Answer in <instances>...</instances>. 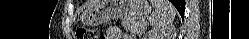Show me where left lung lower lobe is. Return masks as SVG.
Listing matches in <instances>:
<instances>
[{
	"label": "left lung lower lobe",
	"mask_w": 249,
	"mask_h": 39,
	"mask_svg": "<svg viewBox=\"0 0 249 39\" xmlns=\"http://www.w3.org/2000/svg\"><path fill=\"white\" fill-rule=\"evenodd\" d=\"M175 7L177 8V10L179 11V13L181 14V16H184V10H185V1L184 0H170Z\"/></svg>",
	"instance_id": "left-lung-lower-lobe-1"
}]
</instances>
